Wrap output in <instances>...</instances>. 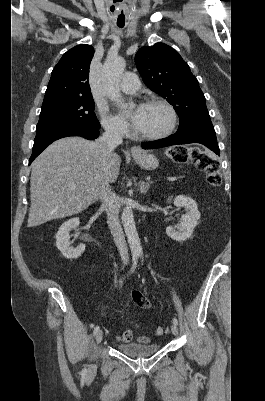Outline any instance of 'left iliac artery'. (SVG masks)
Returning a JSON list of instances; mask_svg holds the SVG:
<instances>
[{"mask_svg":"<svg viewBox=\"0 0 265 401\" xmlns=\"http://www.w3.org/2000/svg\"><path fill=\"white\" fill-rule=\"evenodd\" d=\"M173 323L176 324V325L178 324L177 318H175V317L173 318Z\"/></svg>","mask_w":265,"mask_h":401,"instance_id":"44dca946","label":"left iliac artery"}]
</instances>
